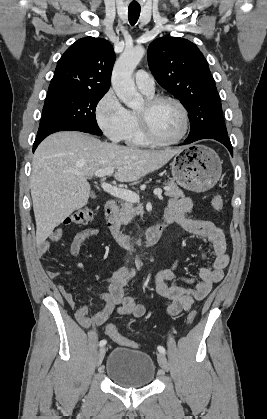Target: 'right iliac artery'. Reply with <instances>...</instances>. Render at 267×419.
Instances as JSON below:
<instances>
[{"label":"right iliac artery","instance_id":"right-iliac-artery-1","mask_svg":"<svg viewBox=\"0 0 267 419\" xmlns=\"http://www.w3.org/2000/svg\"><path fill=\"white\" fill-rule=\"evenodd\" d=\"M107 343V341L104 339V340H101L100 341V343H99V346L100 347H102V346H104L105 344Z\"/></svg>","mask_w":267,"mask_h":419}]
</instances>
